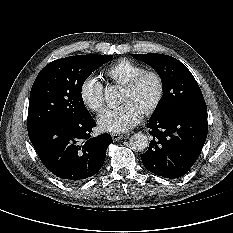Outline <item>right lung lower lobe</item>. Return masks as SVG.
<instances>
[{"label":"right lung lower lobe","instance_id":"1","mask_svg":"<svg viewBox=\"0 0 233 233\" xmlns=\"http://www.w3.org/2000/svg\"><path fill=\"white\" fill-rule=\"evenodd\" d=\"M96 122L90 114L73 122L45 125L28 131L43 165L67 183L79 182L102 167L112 138L104 133L91 137Z\"/></svg>","mask_w":233,"mask_h":233}]
</instances>
